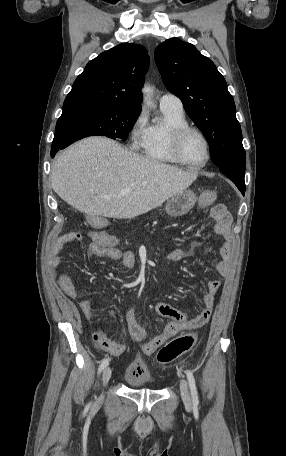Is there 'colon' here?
I'll return each instance as SVG.
<instances>
[{"label": "colon", "mask_w": 286, "mask_h": 456, "mask_svg": "<svg viewBox=\"0 0 286 456\" xmlns=\"http://www.w3.org/2000/svg\"><path fill=\"white\" fill-rule=\"evenodd\" d=\"M217 197L216 192L206 191L200 196V204L207 206L212 204ZM73 237L78 239L80 234L73 233ZM197 343V337L194 334H185L171 340L167 345L162 347L157 353V360L161 364H168L179 356L189 352Z\"/></svg>", "instance_id": "5ec220e1"}]
</instances>
